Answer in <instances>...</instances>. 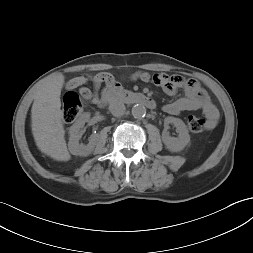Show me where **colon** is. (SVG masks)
<instances>
[{
  "label": "colon",
  "instance_id": "5ec220e1",
  "mask_svg": "<svg viewBox=\"0 0 253 253\" xmlns=\"http://www.w3.org/2000/svg\"><path fill=\"white\" fill-rule=\"evenodd\" d=\"M144 72V71H142ZM86 104L84 100L75 92H67L63 99V119L71 123L84 111ZM187 125L191 132L200 133L207 128V121L198 116H189Z\"/></svg>",
  "mask_w": 253,
  "mask_h": 253
}]
</instances>
